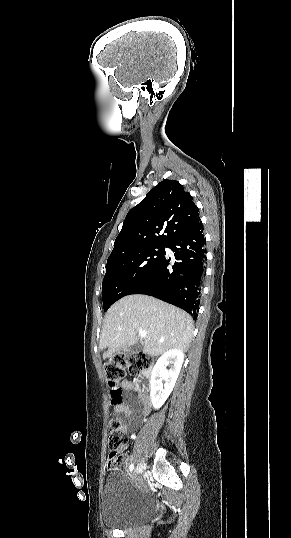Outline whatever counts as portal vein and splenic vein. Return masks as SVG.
<instances>
[{"label":"portal vein and splenic vein","mask_w":291,"mask_h":538,"mask_svg":"<svg viewBox=\"0 0 291 538\" xmlns=\"http://www.w3.org/2000/svg\"><path fill=\"white\" fill-rule=\"evenodd\" d=\"M138 333H139V336H140L141 338L146 337V334H147L145 330H139Z\"/></svg>","instance_id":"portal-vein-and-splenic-vein-1"}]
</instances>
